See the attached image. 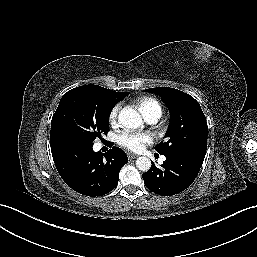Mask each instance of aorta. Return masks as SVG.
Here are the masks:
<instances>
[{
	"label": "aorta",
	"instance_id": "1",
	"mask_svg": "<svg viewBox=\"0 0 257 257\" xmlns=\"http://www.w3.org/2000/svg\"><path fill=\"white\" fill-rule=\"evenodd\" d=\"M118 120L122 126L128 129L139 128L143 123L141 115L136 110L129 107H125L120 111ZM136 167L146 172L151 168V160L144 156L139 157L136 160Z\"/></svg>",
	"mask_w": 257,
	"mask_h": 257
}]
</instances>
